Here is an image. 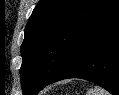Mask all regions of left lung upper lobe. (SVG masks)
<instances>
[{"instance_id": "left-lung-upper-lobe-1", "label": "left lung upper lobe", "mask_w": 119, "mask_h": 95, "mask_svg": "<svg viewBox=\"0 0 119 95\" xmlns=\"http://www.w3.org/2000/svg\"><path fill=\"white\" fill-rule=\"evenodd\" d=\"M119 0H40L25 28L23 95H34L61 70L81 37Z\"/></svg>"}]
</instances>
